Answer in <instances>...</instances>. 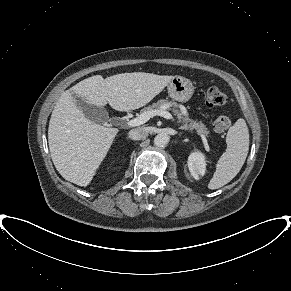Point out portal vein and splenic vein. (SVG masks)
<instances>
[{"label":"portal vein and splenic vein","instance_id":"18ae733b","mask_svg":"<svg viewBox=\"0 0 291 291\" xmlns=\"http://www.w3.org/2000/svg\"><path fill=\"white\" fill-rule=\"evenodd\" d=\"M156 115L162 116V117L169 119V120H172V121H175L173 116L169 112H167L165 110H154V111L142 113L139 117H136L134 119L127 121L126 124L129 127L140 126V125L146 123L150 118H152L153 116H156Z\"/></svg>","mask_w":291,"mask_h":291}]
</instances>
